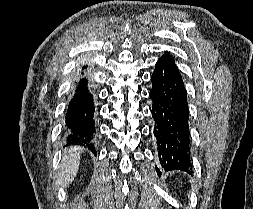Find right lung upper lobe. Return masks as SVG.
I'll return each mask as SVG.
<instances>
[{"mask_svg":"<svg viewBox=\"0 0 253 209\" xmlns=\"http://www.w3.org/2000/svg\"><path fill=\"white\" fill-rule=\"evenodd\" d=\"M86 68H87V66H83V67H82V70H84V69H86Z\"/></svg>","mask_w":253,"mask_h":209,"instance_id":"right-lung-upper-lobe-1","label":"right lung upper lobe"}]
</instances>
